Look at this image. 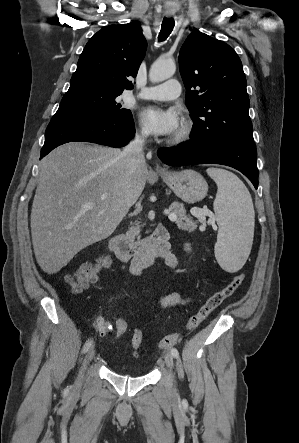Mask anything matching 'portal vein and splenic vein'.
<instances>
[{
	"label": "portal vein and splenic vein",
	"instance_id": "portal-vein-and-splenic-vein-1",
	"mask_svg": "<svg viewBox=\"0 0 299 443\" xmlns=\"http://www.w3.org/2000/svg\"><path fill=\"white\" fill-rule=\"evenodd\" d=\"M91 207H92V204H90V203L84 205V208H91ZM164 213L168 215V218H169L170 221H175L176 218H177L176 214L175 213H171L170 210H165Z\"/></svg>",
	"mask_w": 299,
	"mask_h": 443
}]
</instances>
